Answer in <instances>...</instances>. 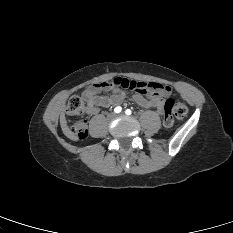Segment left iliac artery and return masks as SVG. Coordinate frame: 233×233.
<instances>
[{
  "label": "left iliac artery",
  "mask_w": 233,
  "mask_h": 233,
  "mask_svg": "<svg viewBox=\"0 0 233 233\" xmlns=\"http://www.w3.org/2000/svg\"><path fill=\"white\" fill-rule=\"evenodd\" d=\"M125 113H126L127 115H131L132 111H131L130 109H127V110L125 111Z\"/></svg>",
  "instance_id": "left-iliac-artery-1"
}]
</instances>
